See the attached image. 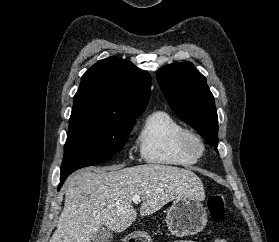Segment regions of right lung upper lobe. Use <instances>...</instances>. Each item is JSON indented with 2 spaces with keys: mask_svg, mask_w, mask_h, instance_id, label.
I'll list each match as a JSON object with an SVG mask.
<instances>
[{
  "mask_svg": "<svg viewBox=\"0 0 279 242\" xmlns=\"http://www.w3.org/2000/svg\"><path fill=\"white\" fill-rule=\"evenodd\" d=\"M148 72L119 57L94 64L83 76L71 116L93 119H136L150 97Z\"/></svg>",
  "mask_w": 279,
  "mask_h": 242,
  "instance_id": "cb5924a9",
  "label": "right lung upper lobe"
}]
</instances>
